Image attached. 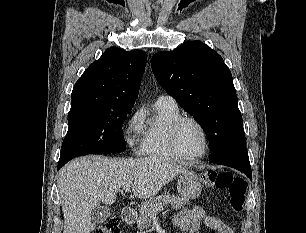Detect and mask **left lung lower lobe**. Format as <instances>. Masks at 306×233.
<instances>
[{"instance_id": "left-lung-lower-lobe-1", "label": "left lung lower lobe", "mask_w": 306, "mask_h": 233, "mask_svg": "<svg viewBox=\"0 0 306 233\" xmlns=\"http://www.w3.org/2000/svg\"><path fill=\"white\" fill-rule=\"evenodd\" d=\"M215 163L235 168L241 171L242 173L246 174L248 178L252 179V172L248 156L225 159Z\"/></svg>"}]
</instances>
